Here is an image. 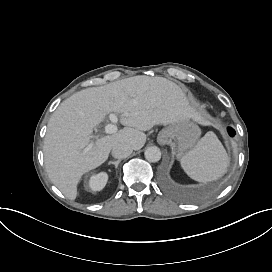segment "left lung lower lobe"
<instances>
[{
  "label": "left lung lower lobe",
  "mask_w": 272,
  "mask_h": 272,
  "mask_svg": "<svg viewBox=\"0 0 272 272\" xmlns=\"http://www.w3.org/2000/svg\"><path fill=\"white\" fill-rule=\"evenodd\" d=\"M228 133H229V135L232 136V137L235 135V131H234V129H232V128H228Z\"/></svg>",
  "instance_id": "1"
}]
</instances>
